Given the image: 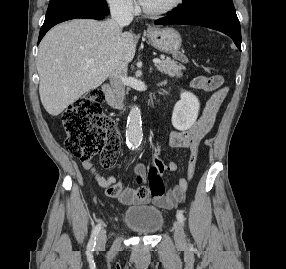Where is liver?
<instances>
[{
  "label": "liver",
  "mask_w": 286,
  "mask_h": 269,
  "mask_svg": "<svg viewBox=\"0 0 286 269\" xmlns=\"http://www.w3.org/2000/svg\"><path fill=\"white\" fill-rule=\"evenodd\" d=\"M136 41L112 20L74 19L52 28L39 46V94L57 116L86 92L99 87L121 63H130ZM86 59H93L89 64Z\"/></svg>",
  "instance_id": "obj_1"
}]
</instances>
